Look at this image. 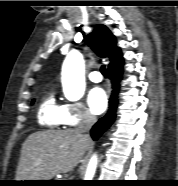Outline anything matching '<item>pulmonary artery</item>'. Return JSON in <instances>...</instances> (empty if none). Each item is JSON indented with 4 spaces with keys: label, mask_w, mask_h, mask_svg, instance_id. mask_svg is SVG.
I'll return each mask as SVG.
<instances>
[{
    "label": "pulmonary artery",
    "mask_w": 178,
    "mask_h": 186,
    "mask_svg": "<svg viewBox=\"0 0 178 186\" xmlns=\"http://www.w3.org/2000/svg\"><path fill=\"white\" fill-rule=\"evenodd\" d=\"M88 77L93 82H100L102 80V75L97 71L90 72Z\"/></svg>",
    "instance_id": "obj_1"
}]
</instances>
